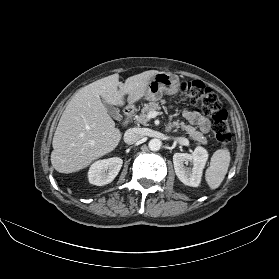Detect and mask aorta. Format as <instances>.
I'll return each mask as SVG.
<instances>
[{
    "instance_id": "762f6f07",
    "label": "aorta",
    "mask_w": 279,
    "mask_h": 279,
    "mask_svg": "<svg viewBox=\"0 0 279 279\" xmlns=\"http://www.w3.org/2000/svg\"><path fill=\"white\" fill-rule=\"evenodd\" d=\"M162 146V142L160 139H151L148 143V147L151 151H158Z\"/></svg>"
}]
</instances>
